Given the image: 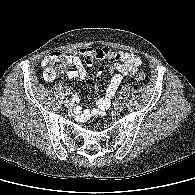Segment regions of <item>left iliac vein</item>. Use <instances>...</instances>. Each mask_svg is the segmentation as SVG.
Returning a JSON list of instances; mask_svg holds the SVG:
<instances>
[{
  "label": "left iliac vein",
  "mask_w": 195,
  "mask_h": 195,
  "mask_svg": "<svg viewBox=\"0 0 195 195\" xmlns=\"http://www.w3.org/2000/svg\"><path fill=\"white\" fill-rule=\"evenodd\" d=\"M124 108V104L121 102V101H117L115 104H114V110L115 111H122Z\"/></svg>",
  "instance_id": "4c4485c4"
}]
</instances>
